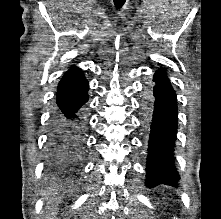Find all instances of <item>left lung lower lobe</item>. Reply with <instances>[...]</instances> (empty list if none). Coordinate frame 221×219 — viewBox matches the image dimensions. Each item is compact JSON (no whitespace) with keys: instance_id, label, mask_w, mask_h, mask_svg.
<instances>
[{"instance_id":"0a47b994","label":"left lung lower lobe","mask_w":221,"mask_h":219,"mask_svg":"<svg viewBox=\"0 0 221 219\" xmlns=\"http://www.w3.org/2000/svg\"><path fill=\"white\" fill-rule=\"evenodd\" d=\"M154 82L156 101L148 147L146 186H173L180 179L173 160L178 122L177 99L163 69L156 71Z\"/></svg>"}]
</instances>
